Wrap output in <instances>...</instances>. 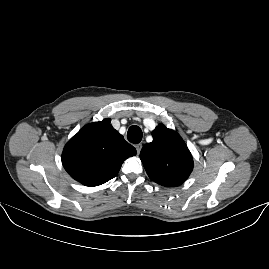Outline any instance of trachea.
Wrapping results in <instances>:
<instances>
[{
	"instance_id": "3493384b",
	"label": "trachea",
	"mask_w": 269,
	"mask_h": 269,
	"mask_svg": "<svg viewBox=\"0 0 269 269\" xmlns=\"http://www.w3.org/2000/svg\"><path fill=\"white\" fill-rule=\"evenodd\" d=\"M142 137V131L138 126L133 125L128 129L127 138L131 143H139L142 140Z\"/></svg>"
}]
</instances>
